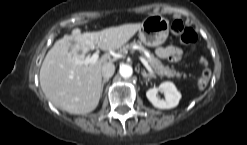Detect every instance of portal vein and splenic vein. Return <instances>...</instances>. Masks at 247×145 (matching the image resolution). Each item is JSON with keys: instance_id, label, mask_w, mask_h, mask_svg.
Segmentation results:
<instances>
[{"instance_id": "18ae733b", "label": "portal vein and splenic vein", "mask_w": 247, "mask_h": 145, "mask_svg": "<svg viewBox=\"0 0 247 145\" xmlns=\"http://www.w3.org/2000/svg\"><path fill=\"white\" fill-rule=\"evenodd\" d=\"M98 58H99V55L97 53H94L92 56H88L84 60H78V61H76V63L77 64H82V65H91V64L96 63V61L98 60ZM140 60L143 63V65L146 67V69L151 74H154V71L150 67V65L148 64V62L143 57H140Z\"/></svg>"}]
</instances>
